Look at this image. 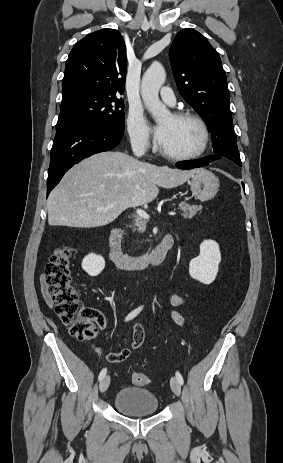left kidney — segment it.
<instances>
[{
    "label": "left kidney",
    "instance_id": "obj_1",
    "mask_svg": "<svg viewBox=\"0 0 283 463\" xmlns=\"http://www.w3.org/2000/svg\"><path fill=\"white\" fill-rule=\"evenodd\" d=\"M220 262L219 245L213 240H204L200 244L199 256L189 263V274L193 279L209 285L217 276Z\"/></svg>",
    "mask_w": 283,
    "mask_h": 463
}]
</instances>
